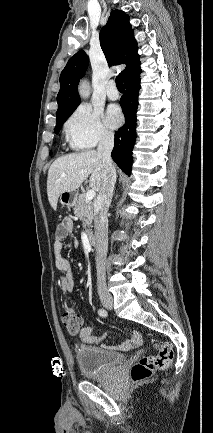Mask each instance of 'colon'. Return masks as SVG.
Here are the masks:
<instances>
[{"label":"colon","instance_id":"5ec220e1","mask_svg":"<svg viewBox=\"0 0 213 433\" xmlns=\"http://www.w3.org/2000/svg\"><path fill=\"white\" fill-rule=\"evenodd\" d=\"M62 322L66 329L71 333H77L82 326L81 315L70 309L62 315ZM157 354L143 356L131 368V379L134 383H140L150 378L158 370L168 368L174 359V350L170 343H157Z\"/></svg>","mask_w":213,"mask_h":433}]
</instances>
